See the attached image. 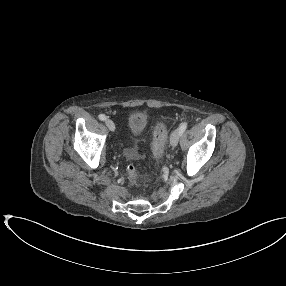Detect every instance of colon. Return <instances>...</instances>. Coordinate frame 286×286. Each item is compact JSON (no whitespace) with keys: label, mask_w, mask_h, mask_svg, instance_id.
<instances>
[{"label":"colon","mask_w":286,"mask_h":286,"mask_svg":"<svg viewBox=\"0 0 286 286\" xmlns=\"http://www.w3.org/2000/svg\"><path fill=\"white\" fill-rule=\"evenodd\" d=\"M166 136H167V125L164 122H161L155 128L153 143H152L153 157L156 161H160L163 156ZM125 154L128 158L132 159L136 156V151L134 149H128L125 152ZM126 172L129 179L135 180L138 178V173L133 164H129L127 166Z\"/></svg>","instance_id":"obj_1"}]
</instances>
